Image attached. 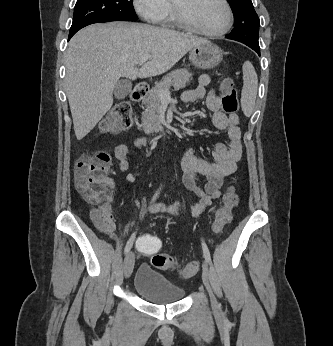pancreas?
Segmentation results:
<instances>
[{
    "label": "pancreas",
    "mask_w": 333,
    "mask_h": 346,
    "mask_svg": "<svg viewBox=\"0 0 333 346\" xmlns=\"http://www.w3.org/2000/svg\"><path fill=\"white\" fill-rule=\"evenodd\" d=\"M191 80L192 73L187 69H177L168 73L161 81L155 84L149 91V95L142 101L145 111L142 114L141 127L145 133L159 132L163 128L159 115L161 92L169 90L172 86L175 90L185 88Z\"/></svg>",
    "instance_id": "1"
}]
</instances>
